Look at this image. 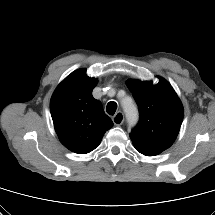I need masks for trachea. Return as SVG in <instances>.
Here are the masks:
<instances>
[{
    "instance_id": "trachea-1",
    "label": "trachea",
    "mask_w": 215,
    "mask_h": 215,
    "mask_svg": "<svg viewBox=\"0 0 215 215\" xmlns=\"http://www.w3.org/2000/svg\"><path fill=\"white\" fill-rule=\"evenodd\" d=\"M117 109V104L114 101H111L107 104L106 111L109 115H114Z\"/></svg>"
}]
</instances>
